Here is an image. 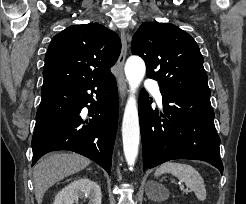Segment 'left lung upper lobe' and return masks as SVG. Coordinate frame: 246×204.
<instances>
[{
  "label": "left lung upper lobe",
  "mask_w": 246,
  "mask_h": 204,
  "mask_svg": "<svg viewBox=\"0 0 246 204\" xmlns=\"http://www.w3.org/2000/svg\"><path fill=\"white\" fill-rule=\"evenodd\" d=\"M131 51L146 63L149 78L160 88L210 92L203 56L192 36L167 23H143L132 39Z\"/></svg>",
  "instance_id": "5c2ea615"
}]
</instances>
